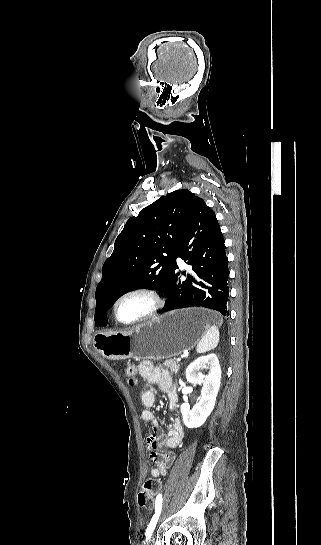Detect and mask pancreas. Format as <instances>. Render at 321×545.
Here are the masks:
<instances>
[{"label":"pancreas","instance_id":"obj_1","mask_svg":"<svg viewBox=\"0 0 321 545\" xmlns=\"http://www.w3.org/2000/svg\"><path fill=\"white\" fill-rule=\"evenodd\" d=\"M163 365L164 367H167V369H170L171 373H175V375H177L180 369L177 359H167V361H164Z\"/></svg>","mask_w":321,"mask_h":545}]
</instances>
